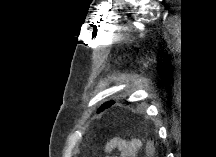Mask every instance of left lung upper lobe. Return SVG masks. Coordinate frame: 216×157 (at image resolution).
Instances as JSON below:
<instances>
[{
	"label": "left lung upper lobe",
	"instance_id": "5c2ea615",
	"mask_svg": "<svg viewBox=\"0 0 216 157\" xmlns=\"http://www.w3.org/2000/svg\"><path fill=\"white\" fill-rule=\"evenodd\" d=\"M113 104H114V101H110V102L104 103V104L100 107L99 111H103L104 109H107L108 107H110V106L113 105Z\"/></svg>",
	"mask_w": 216,
	"mask_h": 157
}]
</instances>
